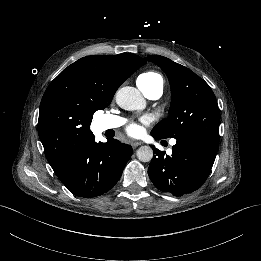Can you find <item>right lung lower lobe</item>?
Instances as JSON below:
<instances>
[{
  "mask_svg": "<svg viewBox=\"0 0 261 261\" xmlns=\"http://www.w3.org/2000/svg\"><path fill=\"white\" fill-rule=\"evenodd\" d=\"M133 150L116 139H95L52 167L66 188L78 197H97L119 180Z\"/></svg>",
  "mask_w": 261,
  "mask_h": 261,
  "instance_id": "right-lung-lower-lobe-1",
  "label": "right lung lower lobe"
}]
</instances>
